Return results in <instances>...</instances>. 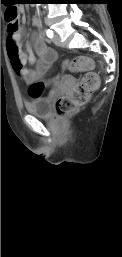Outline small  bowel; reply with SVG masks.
Masks as SVG:
<instances>
[{
	"label": "small bowel",
	"mask_w": 122,
	"mask_h": 257,
	"mask_svg": "<svg viewBox=\"0 0 122 257\" xmlns=\"http://www.w3.org/2000/svg\"><path fill=\"white\" fill-rule=\"evenodd\" d=\"M22 18H24V8L19 7L17 10ZM41 22L35 17L33 26L40 28ZM7 39V60L8 64H12L11 73H17V78H24L27 83L38 82L43 79L50 71L56 60V53L47 46L40 33L35 32L32 35V41H24V30L17 27L14 32H9L8 25ZM33 51L36 52L39 60H37ZM36 64L35 69L27 66Z\"/></svg>",
	"instance_id": "obj_1"
}]
</instances>
